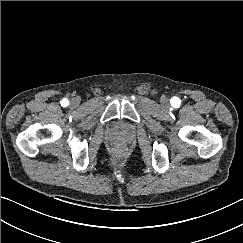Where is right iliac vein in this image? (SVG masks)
Masks as SVG:
<instances>
[{
    "label": "right iliac vein",
    "mask_w": 243,
    "mask_h": 243,
    "mask_svg": "<svg viewBox=\"0 0 243 243\" xmlns=\"http://www.w3.org/2000/svg\"><path fill=\"white\" fill-rule=\"evenodd\" d=\"M71 104L72 105H77L78 104V100H76V99L72 100Z\"/></svg>",
    "instance_id": "right-iliac-vein-1"
}]
</instances>
